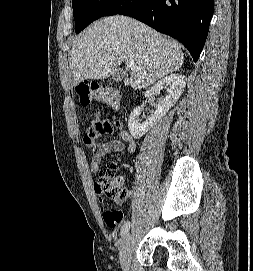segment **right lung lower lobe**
<instances>
[{
    "instance_id": "obj_1",
    "label": "right lung lower lobe",
    "mask_w": 253,
    "mask_h": 271,
    "mask_svg": "<svg viewBox=\"0 0 253 271\" xmlns=\"http://www.w3.org/2000/svg\"><path fill=\"white\" fill-rule=\"evenodd\" d=\"M213 12L214 0H125L114 15L133 17L179 40L196 62Z\"/></svg>"
}]
</instances>
